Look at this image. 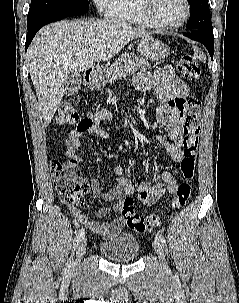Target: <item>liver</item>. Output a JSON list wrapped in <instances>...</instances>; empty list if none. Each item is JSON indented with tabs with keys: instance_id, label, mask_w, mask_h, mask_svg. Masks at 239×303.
Wrapping results in <instances>:
<instances>
[{
	"instance_id": "liver-1",
	"label": "liver",
	"mask_w": 239,
	"mask_h": 303,
	"mask_svg": "<svg viewBox=\"0 0 239 303\" xmlns=\"http://www.w3.org/2000/svg\"><path fill=\"white\" fill-rule=\"evenodd\" d=\"M148 35L126 22L100 19L64 20L40 29L27 58L44 126L60 105L69 75L113 58L132 40ZM91 46L96 47L92 52Z\"/></svg>"
}]
</instances>
